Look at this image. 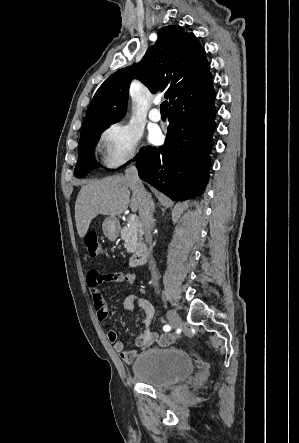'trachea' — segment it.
Segmentation results:
<instances>
[{
	"mask_svg": "<svg viewBox=\"0 0 299 443\" xmlns=\"http://www.w3.org/2000/svg\"><path fill=\"white\" fill-rule=\"evenodd\" d=\"M167 107H168V102L167 101H163L160 105V109L161 112H166L167 111Z\"/></svg>",
	"mask_w": 299,
	"mask_h": 443,
	"instance_id": "trachea-1",
	"label": "trachea"
}]
</instances>
